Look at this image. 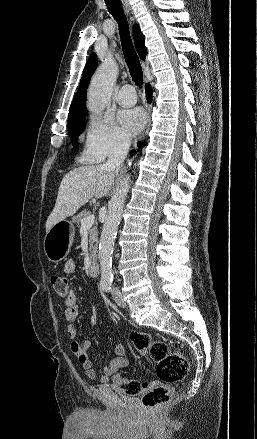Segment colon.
Masks as SVG:
<instances>
[{"label": "colon", "instance_id": "1", "mask_svg": "<svg viewBox=\"0 0 257 439\" xmlns=\"http://www.w3.org/2000/svg\"><path fill=\"white\" fill-rule=\"evenodd\" d=\"M51 285L55 293L66 302L72 292L67 279L62 275H53ZM131 341L135 349L156 367L160 382L137 380L119 376L115 384L126 394H138L145 391L143 404L147 408H158L166 404L172 396L169 384L185 378L189 364L180 350H172L166 342L157 341L144 331H132Z\"/></svg>", "mask_w": 257, "mask_h": 439}]
</instances>
